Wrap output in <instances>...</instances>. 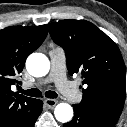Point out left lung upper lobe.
Instances as JSON below:
<instances>
[{
    "label": "left lung upper lobe",
    "instance_id": "1",
    "mask_svg": "<svg viewBox=\"0 0 127 127\" xmlns=\"http://www.w3.org/2000/svg\"><path fill=\"white\" fill-rule=\"evenodd\" d=\"M49 32L65 50L70 75H82L85 89L79 105L118 120L126 97V70L117 45L86 20L54 22Z\"/></svg>",
    "mask_w": 127,
    "mask_h": 127
}]
</instances>
